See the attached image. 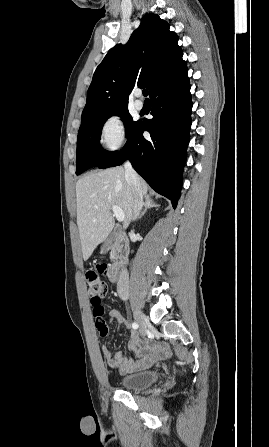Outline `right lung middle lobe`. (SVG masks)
Listing matches in <instances>:
<instances>
[{
	"mask_svg": "<svg viewBox=\"0 0 269 447\" xmlns=\"http://www.w3.org/2000/svg\"><path fill=\"white\" fill-rule=\"evenodd\" d=\"M117 115L122 118L126 128L127 138L136 130L140 122H134L128 108L108 112L93 122L81 127L78 132L76 174L79 175L91 167H98L114 152L102 149L100 135L103 124L111 117Z\"/></svg>",
	"mask_w": 269,
	"mask_h": 447,
	"instance_id": "obj_1",
	"label": "right lung middle lobe"
}]
</instances>
